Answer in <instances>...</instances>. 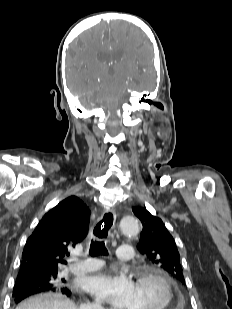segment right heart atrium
Here are the masks:
<instances>
[{"mask_svg": "<svg viewBox=\"0 0 232 309\" xmlns=\"http://www.w3.org/2000/svg\"><path fill=\"white\" fill-rule=\"evenodd\" d=\"M91 309H104L101 305H99L98 303H93L91 305Z\"/></svg>", "mask_w": 232, "mask_h": 309, "instance_id": "right-heart-atrium-1", "label": "right heart atrium"}]
</instances>
